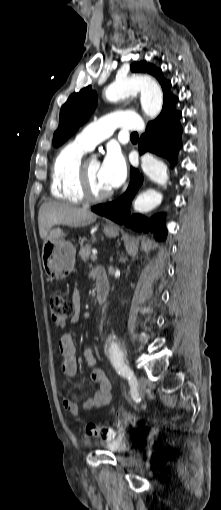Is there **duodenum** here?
<instances>
[{
    "label": "duodenum",
    "mask_w": 221,
    "mask_h": 510,
    "mask_svg": "<svg viewBox=\"0 0 221 510\" xmlns=\"http://www.w3.org/2000/svg\"><path fill=\"white\" fill-rule=\"evenodd\" d=\"M95 281H96V302L97 304L101 305L105 302L109 292V282L104 270L97 269L95 271Z\"/></svg>",
    "instance_id": "1"
}]
</instances>
